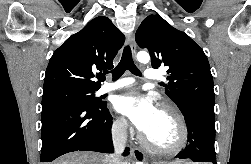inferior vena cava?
I'll return each instance as SVG.
<instances>
[{"mask_svg": "<svg viewBox=\"0 0 251 164\" xmlns=\"http://www.w3.org/2000/svg\"><path fill=\"white\" fill-rule=\"evenodd\" d=\"M127 121L122 119L112 128V139L115 153L110 156L109 164H122L121 153L124 151L127 141Z\"/></svg>", "mask_w": 251, "mask_h": 164, "instance_id": "1", "label": "inferior vena cava"}]
</instances>
